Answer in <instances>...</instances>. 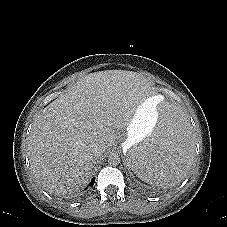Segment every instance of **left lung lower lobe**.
<instances>
[{
    "mask_svg": "<svg viewBox=\"0 0 227 227\" xmlns=\"http://www.w3.org/2000/svg\"><path fill=\"white\" fill-rule=\"evenodd\" d=\"M173 135L174 137L172 139L173 140L172 143L164 152L165 155L170 157V160H171V161L170 160L164 161V165L161 168L165 171H169V168L172 166V162L175 160L177 156H179L180 151L184 149L192 139L191 135H187V134L185 135L179 132H175V134Z\"/></svg>",
    "mask_w": 227,
    "mask_h": 227,
    "instance_id": "obj_1",
    "label": "left lung lower lobe"
}]
</instances>
